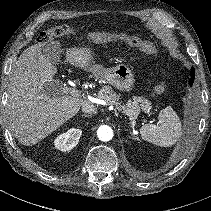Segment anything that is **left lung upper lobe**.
<instances>
[{"mask_svg": "<svg viewBox=\"0 0 211 211\" xmlns=\"http://www.w3.org/2000/svg\"><path fill=\"white\" fill-rule=\"evenodd\" d=\"M194 78H195V69L193 68V69L191 70V78H190V80H189V84H190V85L193 84Z\"/></svg>", "mask_w": 211, "mask_h": 211, "instance_id": "1", "label": "left lung upper lobe"}]
</instances>
